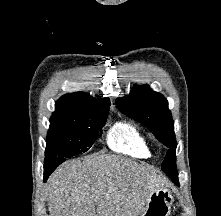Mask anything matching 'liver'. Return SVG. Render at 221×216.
I'll return each mask as SVG.
<instances>
[{"label":"liver","mask_w":221,"mask_h":216,"mask_svg":"<svg viewBox=\"0 0 221 216\" xmlns=\"http://www.w3.org/2000/svg\"><path fill=\"white\" fill-rule=\"evenodd\" d=\"M166 183L154 168L118 155L69 160L48 180L49 216H138Z\"/></svg>","instance_id":"1"}]
</instances>
